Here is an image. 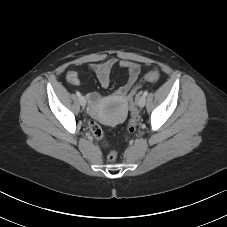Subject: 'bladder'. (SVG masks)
I'll return each mask as SVG.
<instances>
[{"mask_svg": "<svg viewBox=\"0 0 227 227\" xmlns=\"http://www.w3.org/2000/svg\"><path fill=\"white\" fill-rule=\"evenodd\" d=\"M108 122L111 123V124H113L115 121H113V120L110 119V120H108Z\"/></svg>", "mask_w": 227, "mask_h": 227, "instance_id": "31cf9c89", "label": "bladder"}]
</instances>
